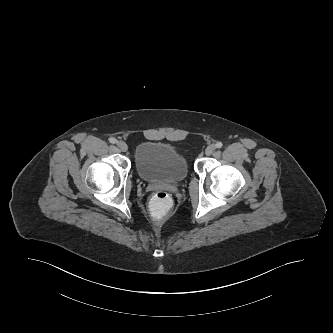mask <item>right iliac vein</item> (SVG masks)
<instances>
[{
	"label": "right iliac vein",
	"instance_id": "right-iliac-vein-1",
	"mask_svg": "<svg viewBox=\"0 0 333 333\" xmlns=\"http://www.w3.org/2000/svg\"><path fill=\"white\" fill-rule=\"evenodd\" d=\"M117 147L122 151L126 152L128 150V146L124 141H118L117 142Z\"/></svg>",
	"mask_w": 333,
	"mask_h": 333
}]
</instances>
